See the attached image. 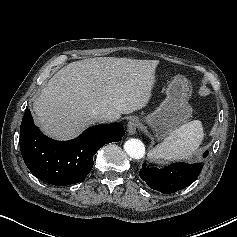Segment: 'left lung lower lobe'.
<instances>
[{
	"label": "left lung lower lobe",
	"mask_w": 237,
	"mask_h": 237,
	"mask_svg": "<svg viewBox=\"0 0 237 237\" xmlns=\"http://www.w3.org/2000/svg\"><path fill=\"white\" fill-rule=\"evenodd\" d=\"M207 155L208 151L203 156L206 157ZM203 165L202 163H173L158 169L148 167L144 163L139 171V176L154 190L164 194L174 193L192 184L199 176Z\"/></svg>",
	"instance_id": "0a47b994"
}]
</instances>
